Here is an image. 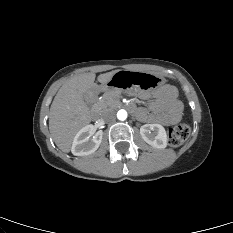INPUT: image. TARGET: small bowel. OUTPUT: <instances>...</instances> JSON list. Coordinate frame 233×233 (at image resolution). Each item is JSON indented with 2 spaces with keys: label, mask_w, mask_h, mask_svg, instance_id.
<instances>
[{
  "label": "small bowel",
  "mask_w": 233,
  "mask_h": 233,
  "mask_svg": "<svg viewBox=\"0 0 233 233\" xmlns=\"http://www.w3.org/2000/svg\"><path fill=\"white\" fill-rule=\"evenodd\" d=\"M139 96L147 99L149 95L141 92ZM155 101L150 108L152 113L147 114L144 109L138 110L137 114L140 119L161 124H172L177 122L182 114V103L177 97V91L173 86H164L152 93Z\"/></svg>",
  "instance_id": "c3829d8e"
}]
</instances>
